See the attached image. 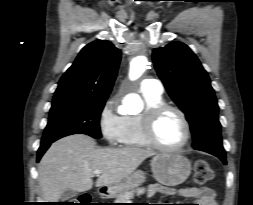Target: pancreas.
<instances>
[{"instance_id":"pancreas-1","label":"pancreas","mask_w":253,"mask_h":205,"mask_svg":"<svg viewBox=\"0 0 253 205\" xmlns=\"http://www.w3.org/2000/svg\"><path fill=\"white\" fill-rule=\"evenodd\" d=\"M144 193H145L144 187L127 190L124 193L117 196L115 203H129L130 202L129 200L132 199L135 194L139 196Z\"/></svg>"}]
</instances>
